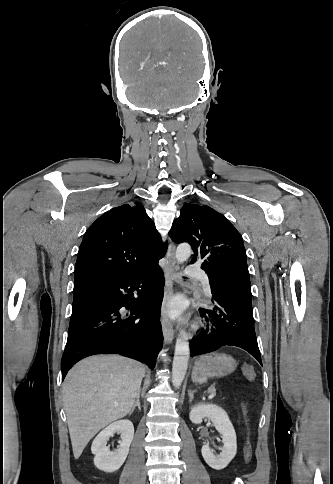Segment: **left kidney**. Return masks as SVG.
<instances>
[{
    "label": "left kidney",
    "mask_w": 333,
    "mask_h": 484,
    "mask_svg": "<svg viewBox=\"0 0 333 484\" xmlns=\"http://www.w3.org/2000/svg\"><path fill=\"white\" fill-rule=\"evenodd\" d=\"M210 419L216 430L222 436V452L218 455L213 453L209 445H203L201 449L205 462L213 469L221 470L227 467L237 452V439L235 429L227 413L219 406L209 403H199L192 407L189 418L195 424H200L203 419Z\"/></svg>",
    "instance_id": "1"
}]
</instances>
